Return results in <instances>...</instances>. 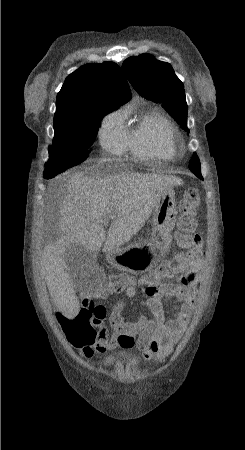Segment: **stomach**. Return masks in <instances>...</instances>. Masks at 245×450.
<instances>
[{
	"label": "stomach",
	"mask_w": 245,
	"mask_h": 450,
	"mask_svg": "<svg viewBox=\"0 0 245 450\" xmlns=\"http://www.w3.org/2000/svg\"><path fill=\"white\" fill-rule=\"evenodd\" d=\"M176 216L175 191L171 187L163 192L155 207L151 240L109 251L108 262L133 274H142L156 267L170 250Z\"/></svg>",
	"instance_id": "obj_1"
}]
</instances>
